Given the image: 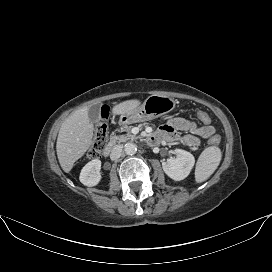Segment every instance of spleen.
I'll return each mask as SVG.
<instances>
[{"instance_id":"spleen-1","label":"spleen","mask_w":272,"mask_h":272,"mask_svg":"<svg viewBox=\"0 0 272 272\" xmlns=\"http://www.w3.org/2000/svg\"><path fill=\"white\" fill-rule=\"evenodd\" d=\"M221 150L216 146L206 148L198 158L195 169L197 183L207 180L217 169L221 161Z\"/></svg>"}]
</instances>
